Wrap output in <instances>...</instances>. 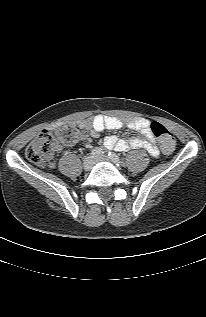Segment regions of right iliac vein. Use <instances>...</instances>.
<instances>
[{
	"label": "right iliac vein",
	"instance_id": "63e3f726",
	"mask_svg": "<svg viewBox=\"0 0 206 317\" xmlns=\"http://www.w3.org/2000/svg\"><path fill=\"white\" fill-rule=\"evenodd\" d=\"M94 165V160L91 156L85 157L83 161V168L85 171H90Z\"/></svg>",
	"mask_w": 206,
	"mask_h": 317
}]
</instances>
